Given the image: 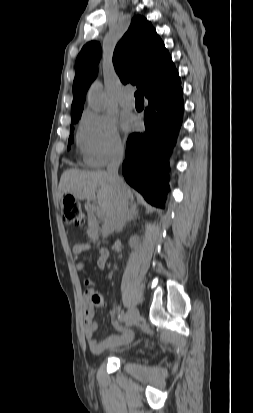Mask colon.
<instances>
[{
  "mask_svg": "<svg viewBox=\"0 0 253 413\" xmlns=\"http://www.w3.org/2000/svg\"><path fill=\"white\" fill-rule=\"evenodd\" d=\"M62 215L66 222L80 224L84 221V213L81 206L70 196H66L63 199ZM90 301L96 306L102 303V297L96 289L90 292Z\"/></svg>",
  "mask_w": 253,
  "mask_h": 413,
  "instance_id": "obj_1",
  "label": "colon"
}]
</instances>
